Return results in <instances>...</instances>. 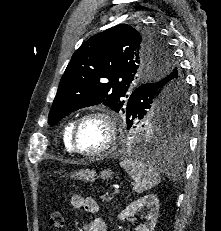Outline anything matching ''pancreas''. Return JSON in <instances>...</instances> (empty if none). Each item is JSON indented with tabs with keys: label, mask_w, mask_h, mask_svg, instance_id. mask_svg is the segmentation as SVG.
<instances>
[{
	"label": "pancreas",
	"mask_w": 221,
	"mask_h": 231,
	"mask_svg": "<svg viewBox=\"0 0 221 231\" xmlns=\"http://www.w3.org/2000/svg\"><path fill=\"white\" fill-rule=\"evenodd\" d=\"M100 198L103 202H110L112 200V197L108 195H102Z\"/></svg>",
	"instance_id": "pancreas-1"
}]
</instances>
